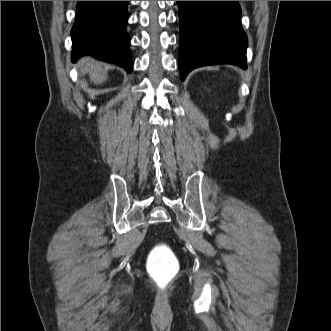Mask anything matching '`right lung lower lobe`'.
<instances>
[{"label": "right lung lower lobe", "instance_id": "98d812e1", "mask_svg": "<svg viewBox=\"0 0 331 331\" xmlns=\"http://www.w3.org/2000/svg\"><path fill=\"white\" fill-rule=\"evenodd\" d=\"M129 1H78L71 31L72 61L93 55L132 71L130 39L126 32Z\"/></svg>", "mask_w": 331, "mask_h": 331}]
</instances>
